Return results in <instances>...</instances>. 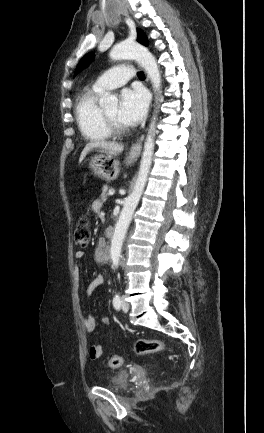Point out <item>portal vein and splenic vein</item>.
<instances>
[{
	"instance_id": "obj_1",
	"label": "portal vein and splenic vein",
	"mask_w": 264,
	"mask_h": 433,
	"mask_svg": "<svg viewBox=\"0 0 264 433\" xmlns=\"http://www.w3.org/2000/svg\"><path fill=\"white\" fill-rule=\"evenodd\" d=\"M114 193H115L114 190H110V191L108 192L109 195H114Z\"/></svg>"
}]
</instances>
